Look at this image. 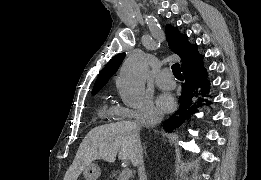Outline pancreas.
Segmentation results:
<instances>
[{
    "label": "pancreas",
    "instance_id": "obj_1",
    "mask_svg": "<svg viewBox=\"0 0 261 180\" xmlns=\"http://www.w3.org/2000/svg\"><path fill=\"white\" fill-rule=\"evenodd\" d=\"M120 175H121V172H120L119 169H114L112 171H107V176H111V178H115V180H118Z\"/></svg>",
    "mask_w": 261,
    "mask_h": 180
}]
</instances>
